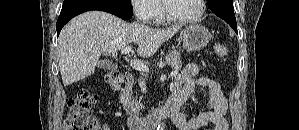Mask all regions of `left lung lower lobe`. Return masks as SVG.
I'll return each instance as SVG.
<instances>
[{
  "label": "left lung lower lobe",
  "mask_w": 299,
  "mask_h": 130,
  "mask_svg": "<svg viewBox=\"0 0 299 130\" xmlns=\"http://www.w3.org/2000/svg\"><path fill=\"white\" fill-rule=\"evenodd\" d=\"M208 6L214 14L225 20L238 33L232 0H211Z\"/></svg>",
  "instance_id": "1"
}]
</instances>
